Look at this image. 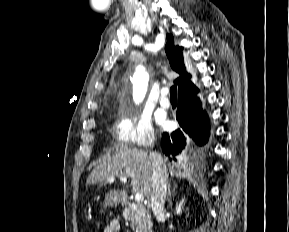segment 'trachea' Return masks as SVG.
<instances>
[{"label": "trachea", "mask_w": 289, "mask_h": 232, "mask_svg": "<svg viewBox=\"0 0 289 232\" xmlns=\"http://www.w3.org/2000/svg\"><path fill=\"white\" fill-rule=\"evenodd\" d=\"M170 97L171 99H177V87L176 86H172L170 88Z\"/></svg>", "instance_id": "trachea-1"}]
</instances>
